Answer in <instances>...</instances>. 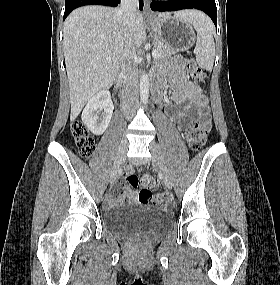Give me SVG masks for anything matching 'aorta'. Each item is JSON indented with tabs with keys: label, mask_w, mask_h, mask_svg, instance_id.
<instances>
[{
	"label": "aorta",
	"mask_w": 280,
	"mask_h": 285,
	"mask_svg": "<svg viewBox=\"0 0 280 285\" xmlns=\"http://www.w3.org/2000/svg\"><path fill=\"white\" fill-rule=\"evenodd\" d=\"M149 96V78L146 73H142L140 77V99L143 104L147 103Z\"/></svg>",
	"instance_id": "obj_1"
}]
</instances>
